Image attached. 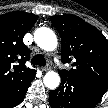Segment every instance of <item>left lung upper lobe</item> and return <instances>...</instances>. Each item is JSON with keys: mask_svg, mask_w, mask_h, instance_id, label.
I'll use <instances>...</instances> for the list:
<instances>
[{"mask_svg": "<svg viewBox=\"0 0 108 108\" xmlns=\"http://www.w3.org/2000/svg\"><path fill=\"white\" fill-rule=\"evenodd\" d=\"M51 22L61 36L63 63L71 70L59 74L108 83V40L94 26L75 15H56Z\"/></svg>", "mask_w": 108, "mask_h": 108, "instance_id": "left-lung-upper-lobe-1", "label": "left lung upper lobe"}]
</instances>
